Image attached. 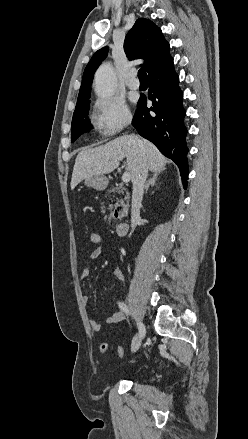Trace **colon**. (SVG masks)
<instances>
[{"label":"colon","instance_id":"obj_1","mask_svg":"<svg viewBox=\"0 0 248 439\" xmlns=\"http://www.w3.org/2000/svg\"><path fill=\"white\" fill-rule=\"evenodd\" d=\"M88 240L92 245L99 246L101 244V235L97 231H91L88 233ZM109 351V344L102 343L100 346V352L106 354ZM117 353L119 357L125 356V350L122 347H117Z\"/></svg>","mask_w":248,"mask_h":439}]
</instances>
